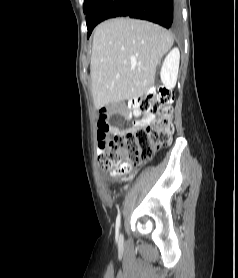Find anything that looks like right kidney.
I'll use <instances>...</instances> for the list:
<instances>
[{"mask_svg":"<svg viewBox=\"0 0 238 278\" xmlns=\"http://www.w3.org/2000/svg\"><path fill=\"white\" fill-rule=\"evenodd\" d=\"M180 52L178 48H174L166 56L162 68H161V81L168 87L172 88L175 86L177 81L178 69H179Z\"/></svg>","mask_w":238,"mask_h":278,"instance_id":"obj_1","label":"right kidney"}]
</instances>
